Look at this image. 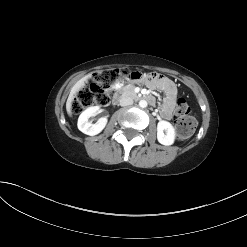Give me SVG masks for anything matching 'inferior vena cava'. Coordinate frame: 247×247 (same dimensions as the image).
Listing matches in <instances>:
<instances>
[{
    "label": "inferior vena cava",
    "instance_id": "obj_1",
    "mask_svg": "<svg viewBox=\"0 0 247 247\" xmlns=\"http://www.w3.org/2000/svg\"><path fill=\"white\" fill-rule=\"evenodd\" d=\"M120 106H128L133 104V99L132 97L128 96V95H122L119 101Z\"/></svg>",
    "mask_w": 247,
    "mask_h": 247
}]
</instances>
